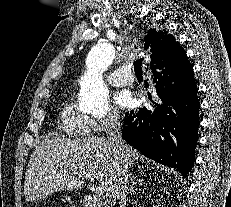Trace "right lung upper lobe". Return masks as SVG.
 I'll return each instance as SVG.
<instances>
[{"label":"right lung upper lobe","mask_w":231,"mask_h":207,"mask_svg":"<svg viewBox=\"0 0 231 207\" xmlns=\"http://www.w3.org/2000/svg\"><path fill=\"white\" fill-rule=\"evenodd\" d=\"M145 46L151 51V64H177L181 61H188L184 49L176 42L175 38L167 34L165 30H152L151 36L145 40ZM161 68H164L161 67Z\"/></svg>","instance_id":"cb5924a9"}]
</instances>
